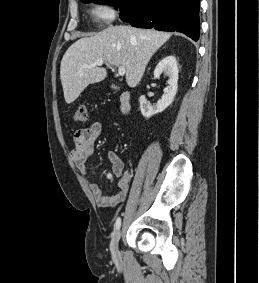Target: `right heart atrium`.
<instances>
[{"mask_svg":"<svg viewBox=\"0 0 259 283\" xmlns=\"http://www.w3.org/2000/svg\"><path fill=\"white\" fill-rule=\"evenodd\" d=\"M119 8L115 1L101 0L94 6V16L103 25L110 24L117 17Z\"/></svg>","mask_w":259,"mask_h":283,"instance_id":"right-heart-atrium-1","label":"right heart atrium"}]
</instances>
